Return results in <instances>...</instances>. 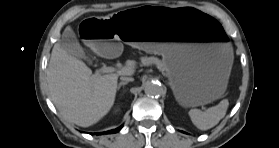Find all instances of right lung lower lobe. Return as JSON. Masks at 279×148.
I'll return each instance as SVG.
<instances>
[{
    "mask_svg": "<svg viewBox=\"0 0 279 148\" xmlns=\"http://www.w3.org/2000/svg\"><path fill=\"white\" fill-rule=\"evenodd\" d=\"M122 127H119V128H116L114 130H109V131H106V132H103V133H96L97 135H100V134H107V133H116L118 132Z\"/></svg>",
    "mask_w": 279,
    "mask_h": 148,
    "instance_id": "obj_1",
    "label": "right lung lower lobe"
}]
</instances>
